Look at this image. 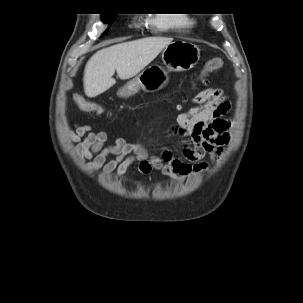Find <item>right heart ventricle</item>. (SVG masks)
Segmentation results:
<instances>
[{
  "mask_svg": "<svg viewBox=\"0 0 303 303\" xmlns=\"http://www.w3.org/2000/svg\"><path fill=\"white\" fill-rule=\"evenodd\" d=\"M158 27L167 28L171 26H186L192 24L189 19H178V18H154L152 20Z\"/></svg>",
  "mask_w": 303,
  "mask_h": 303,
  "instance_id": "obj_1",
  "label": "right heart ventricle"
}]
</instances>
